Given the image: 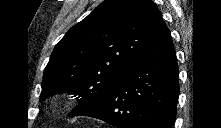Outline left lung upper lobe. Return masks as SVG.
<instances>
[{
    "instance_id": "obj_1",
    "label": "left lung upper lobe",
    "mask_w": 221,
    "mask_h": 128,
    "mask_svg": "<svg viewBox=\"0 0 221 128\" xmlns=\"http://www.w3.org/2000/svg\"><path fill=\"white\" fill-rule=\"evenodd\" d=\"M166 28L151 0H105L55 46L40 101L62 91L79 99L77 116L107 97Z\"/></svg>"
}]
</instances>
